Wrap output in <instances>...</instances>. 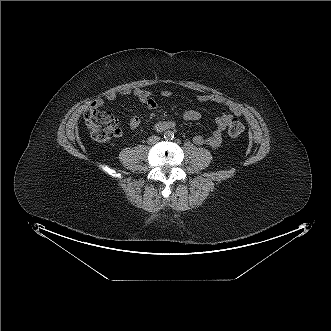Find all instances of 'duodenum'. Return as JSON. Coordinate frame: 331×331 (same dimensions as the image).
<instances>
[{
	"mask_svg": "<svg viewBox=\"0 0 331 331\" xmlns=\"http://www.w3.org/2000/svg\"><path fill=\"white\" fill-rule=\"evenodd\" d=\"M174 127L173 123H169L166 125V129H172Z\"/></svg>",
	"mask_w": 331,
	"mask_h": 331,
	"instance_id": "duodenum-1",
	"label": "duodenum"
}]
</instances>
